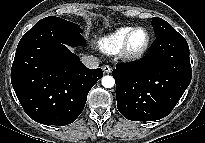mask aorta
Masks as SVG:
<instances>
[{
	"mask_svg": "<svg viewBox=\"0 0 205 143\" xmlns=\"http://www.w3.org/2000/svg\"><path fill=\"white\" fill-rule=\"evenodd\" d=\"M115 84V80L112 76L106 75L102 77V85L105 88H112Z\"/></svg>",
	"mask_w": 205,
	"mask_h": 143,
	"instance_id": "aorta-1",
	"label": "aorta"
}]
</instances>
